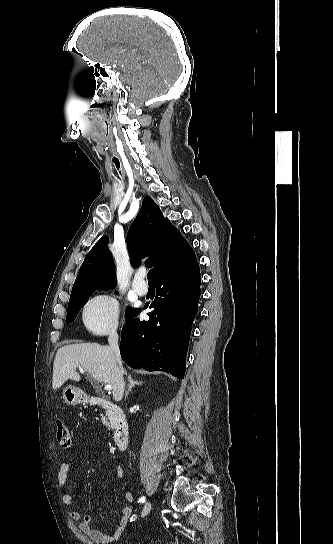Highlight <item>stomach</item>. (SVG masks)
<instances>
[{"mask_svg":"<svg viewBox=\"0 0 333 544\" xmlns=\"http://www.w3.org/2000/svg\"><path fill=\"white\" fill-rule=\"evenodd\" d=\"M64 401L71 406L80 404L86 400V395L74 386H67L63 390Z\"/></svg>","mask_w":333,"mask_h":544,"instance_id":"1","label":"stomach"}]
</instances>
